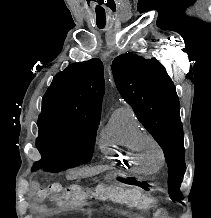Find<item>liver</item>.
Segmentation results:
<instances>
[{
    "mask_svg": "<svg viewBox=\"0 0 211 218\" xmlns=\"http://www.w3.org/2000/svg\"><path fill=\"white\" fill-rule=\"evenodd\" d=\"M81 172H85V170H81Z\"/></svg>",
    "mask_w": 211,
    "mask_h": 218,
    "instance_id": "liver-1",
    "label": "liver"
}]
</instances>
